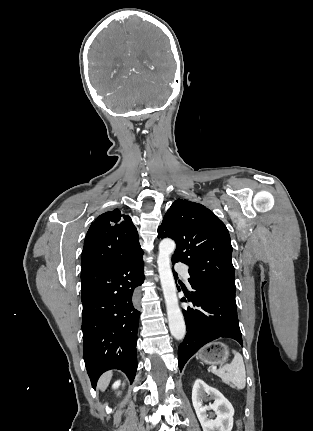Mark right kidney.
Here are the masks:
<instances>
[{"mask_svg": "<svg viewBox=\"0 0 313 431\" xmlns=\"http://www.w3.org/2000/svg\"><path fill=\"white\" fill-rule=\"evenodd\" d=\"M120 384H121V382H120V381H116V382L113 384V388H114V389H117V388L120 386Z\"/></svg>", "mask_w": 313, "mask_h": 431, "instance_id": "1", "label": "right kidney"}]
</instances>
